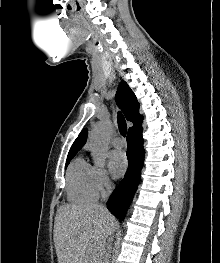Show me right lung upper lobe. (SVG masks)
<instances>
[{
  "mask_svg": "<svg viewBox=\"0 0 220 263\" xmlns=\"http://www.w3.org/2000/svg\"><path fill=\"white\" fill-rule=\"evenodd\" d=\"M116 100L122 108L126 119L134 123V126L129 128L128 133L140 130L142 124V116L138 113L139 103L133 91L124 81H122L118 87ZM86 140L87 130L84 129L81 131V133L71 146L68 156H75L76 153L84 146Z\"/></svg>",
  "mask_w": 220,
  "mask_h": 263,
  "instance_id": "1",
  "label": "right lung upper lobe"
}]
</instances>
